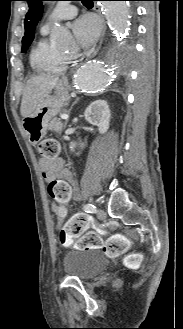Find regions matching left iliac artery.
Returning a JSON list of instances; mask_svg holds the SVG:
<instances>
[{
  "mask_svg": "<svg viewBox=\"0 0 183 329\" xmlns=\"http://www.w3.org/2000/svg\"><path fill=\"white\" fill-rule=\"evenodd\" d=\"M84 211L87 213H95L96 207L93 204H86L83 207Z\"/></svg>",
  "mask_w": 183,
  "mask_h": 329,
  "instance_id": "44dca946",
  "label": "left iliac artery"
}]
</instances>
